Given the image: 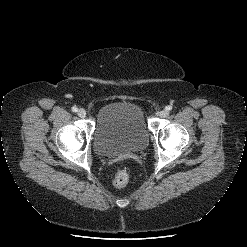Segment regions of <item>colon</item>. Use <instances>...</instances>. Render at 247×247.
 <instances>
[{
	"label": "colon",
	"mask_w": 247,
	"mask_h": 247,
	"mask_svg": "<svg viewBox=\"0 0 247 247\" xmlns=\"http://www.w3.org/2000/svg\"><path fill=\"white\" fill-rule=\"evenodd\" d=\"M129 182V174L125 169H119L113 178L115 186L122 188L125 187Z\"/></svg>",
	"instance_id": "obj_1"
}]
</instances>
